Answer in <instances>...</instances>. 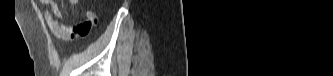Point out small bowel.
Masks as SVG:
<instances>
[{
  "label": "small bowel",
  "mask_w": 333,
  "mask_h": 76,
  "mask_svg": "<svg viewBox=\"0 0 333 76\" xmlns=\"http://www.w3.org/2000/svg\"><path fill=\"white\" fill-rule=\"evenodd\" d=\"M44 5L43 14L46 23L52 33L62 39H85L86 34L90 31L93 25L96 24V17L92 11H86L85 16L87 21L73 26L62 20L61 11L58 4L54 0H42ZM72 6H79L80 0H69Z\"/></svg>",
  "instance_id": "obj_1"
}]
</instances>
